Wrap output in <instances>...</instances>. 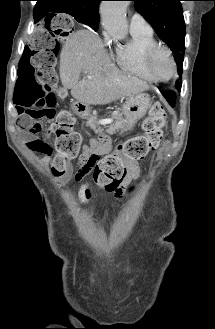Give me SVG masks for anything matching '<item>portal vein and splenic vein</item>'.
I'll return each instance as SVG.
<instances>
[{"instance_id":"1","label":"portal vein and splenic vein","mask_w":215,"mask_h":329,"mask_svg":"<svg viewBox=\"0 0 215 329\" xmlns=\"http://www.w3.org/2000/svg\"><path fill=\"white\" fill-rule=\"evenodd\" d=\"M112 119H102V120H99L98 123L101 124V125H106V124H110L112 123Z\"/></svg>"}]
</instances>
